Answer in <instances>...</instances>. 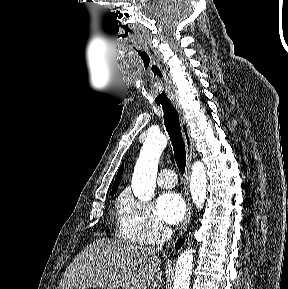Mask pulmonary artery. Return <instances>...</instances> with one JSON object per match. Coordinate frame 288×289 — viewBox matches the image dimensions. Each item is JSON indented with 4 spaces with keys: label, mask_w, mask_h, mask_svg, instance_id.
<instances>
[{
    "label": "pulmonary artery",
    "mask_w": 288,
    "mask_h": 289,
    "mask_svg": "<svg viewBox=\"0 0 288 289\" xmlns=\"http://www.w3.org/2000/svg\"><path fill=\"white\" fill-rule=\"evenodd\" d=\"M176 174L170 169H163L158 176V184L163 188H172L176 184Z\"/></svg>",
    "instance_id": "pulmonary-artery-1"
}]
</instances>
